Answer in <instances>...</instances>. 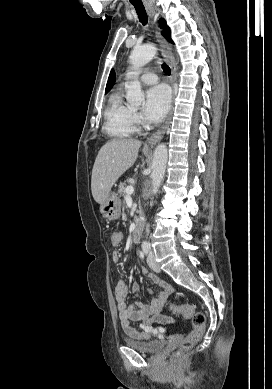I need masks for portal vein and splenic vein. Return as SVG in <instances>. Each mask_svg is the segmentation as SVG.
I'll list each match as a JSON object with an SVG mask.
<instances>
[{"instance_id":"18ae733b","label":"portal vein and splenic vein","mask_w":272,"mask_h":389,"mask_svg":"<svg viewBox=\"0 0 272 389\" xmlns=\"http://www.w3.org/2000/svg\"><path fill=\"white\" fill-rule=\"evenodd\" d=\"M127 195H131L134 192V187L133 186H128L125 190Z\"/></svg>"}]
</instances>
